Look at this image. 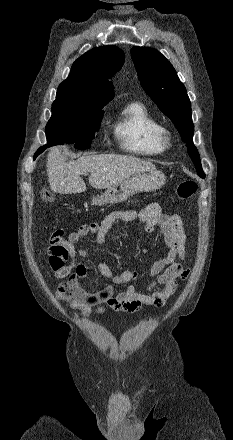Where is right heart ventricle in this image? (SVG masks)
<instances>
[{
    "label": "right heart ventricle",
    "mask_w": 233,
    "mask_h": 440,
    "mask_svg": "<svg viewBox=\"0 0 233 440\" xmlns=\"http://www.w3.org/2000/svg\"><path fill=\"white\" fill-rule=\"evenodd\" d=\"M159 121L141 102L128 104L112 124V132L123 151L134 156H155L164 152L159 142Z\"/></svg>",
    "instance_id": "right-heart-ventricle-1"
}]
</instances>
